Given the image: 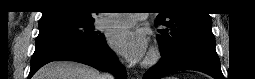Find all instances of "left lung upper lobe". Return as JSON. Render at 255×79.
<instances>
[{"mask_svg": "<svg viewBox=\"0 0 255 79\" xmlns=\"http://www.w3.org/2000/svg\"><path fill=\"white\" fill-rule=\"evenodd\" d=\"M160 13L155 21L163 26L157 36L162 55H166L179 45L192 39L212 38V20L209 14L200 11L180 12L176 8L165 7L174 4L172 1H156Z\"/></svg>", "mask_w": 255, "mask_h": 79, "instance_id": "left-lung-upper-lobe-1", "label": "left lung upper lobe"}]
</instances>
